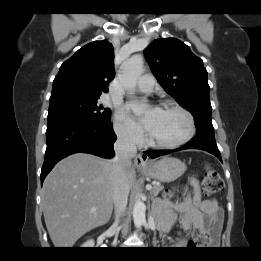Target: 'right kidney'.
Segmentation results:
<instances>
[{"mask_svg":"<svg viewBox=\"0 0 261 261\" xmlns=\"http://www.w3.org/2000/svg\"><path fill=\"white\" fill-rule=\"evenodd\" d=\"M83 248H93L94 247V241L93 240H88L82 245Z\"/></svg>","mask_w":261,"mask_h":261,"instance_id":"obj_1","label":"right kidney"}]
</instances>
